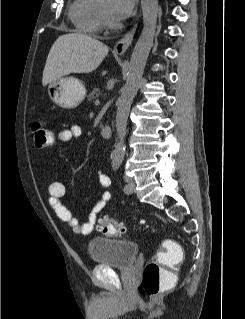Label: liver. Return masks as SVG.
Returning a JSON list of instances; mask_svg holds the SVG:
<instances>
[{"label":"liver","mask_w":245,"mask_h":319,"mask_svg":"<svg viewBox=\"0 0 245 319\" xmlns=\"http://www.w3.org/2000/svg\"><path fill=\"white\" fill-rule=\"evenodd\" d=\"M108 51L107 45L85 34L67 33L59 36L46 60L42 78L43 86L71 73L94 71Z\"/></svg>","instance_id":"6515ba94"}]
</instances>
